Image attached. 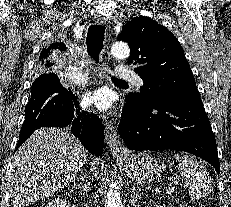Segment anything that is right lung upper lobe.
<instances>
[{"label": "right lung upper lobe", "instance_id": "right-lung-upper-lobe-1", "mask_svg": "<svg viewBox=\"0 0 231 207\" xmlns=\"http://www.w3.org/2000/svg\"><path fill=\"white\" fill-rule=\"evenodd\" d=\"M66 51V45L64 43L55 42L48 45L40 55V66L48 65L56 56Z\"/></svg>", "mask_w": 231, "mask_h": 207}]
</instances>
